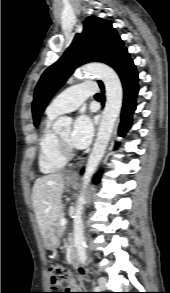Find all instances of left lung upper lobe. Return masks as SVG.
<instances>
[{"label": "left lung upper lobe", "mask_w": 170, "mask_h": 293, "mask_svg": "<svg viewBox=\"0 0 170 293\" xmlns=\"http://www.w3.org/2000/svg\"><path fill=\"white\" fill-rule=\"evenodd\" d=\"M127 49L112 27V22L89 16L82 33L76 34L64 55L42 74L32 105L35 126L50 98L66 82L73 71L88 62H102L112 66Z\"/></svg>", "instance_id": "obj_1"}]
</instances>
